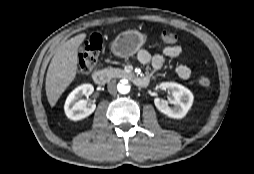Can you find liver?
Segmentation results:
<instances>
[{
  "label": "liver",
  "mask_w": 254,
  "mask_h": 174,
  "mask_svg": "<svg viewBox=\"0 0 254 174\" xmlns=\"http://www.w3.org/2000/svg\"><path fill=\"white\" fill-rule=\"evenodd\" d=\"M81 33L63 43L55 52L47 70L45 89L48 102L54 107L62 93L75 79L78 70V48L85 40Z\"/></svg>",
  "instance_id": "6515ba94"
}]
</instances>
